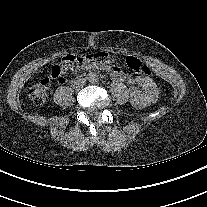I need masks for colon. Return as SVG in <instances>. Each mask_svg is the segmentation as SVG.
<instances>
[{
  "instance_id": "1",
  "label": "colon",
  "mask_w": 207,
  "mask_h": 207,
  "mask_svg": "<svg viewBox=\"0 0 207 207\" xmlns=\"http://www.w3.org/2000/svg\"><path fill=\"white\" fill-rule=\"evenodd\" d=\"M126 65L128 71L135 77L145 78L150 75L148 66L134 57L127 58ZM113 66H115V59L106 52L65 56L51 68L49 75L42 77L31 87L29 91L30 99L36 106L43 105L47 99L48 90L53 79H57L69 71L83 67L110 68Z\"/></svg>"
}]
</instances>
